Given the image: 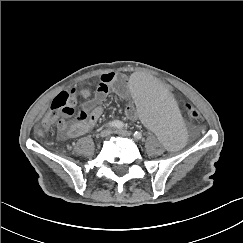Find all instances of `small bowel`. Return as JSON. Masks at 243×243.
<instances>
[{"mask_svg": "<svg viewBox=\"0 0 243 243\" xmlns=\"http://www.w3.org/2000/svg\"><path fill=\"white\" fill-rule=\"evenodd\" d=\"M127 77L120 73H105L100 77L97 92L94 98L86 101L73 120L63 118L58 120L57 128L64 138H75L88 133L103 113L102 102L106 99L109 90L113 88L121 97H126ZM69 117L72 114H63ZM126 115L130 119H136L134 106L126 108Z\"/></svg>", "mask_w": 243, "mask_h": 243, "instance_id": "1", "label": "small bowel"}]
</instances>
